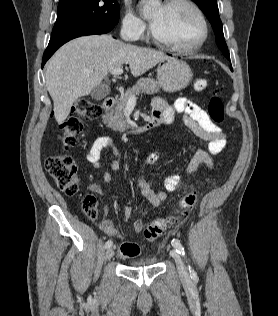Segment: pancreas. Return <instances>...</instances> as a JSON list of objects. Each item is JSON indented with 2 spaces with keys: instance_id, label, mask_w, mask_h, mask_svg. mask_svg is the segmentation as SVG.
I'll use <instances>...</instances> for the list:
<instances>
[{
  "instance_id": "cf45deb5",
  "label": "pancreas",
  "mask_w": 278,
  "mask_h": 316,
  "mask_svg": "<svg viewBox=\"0 0 278 316\" xmlns=\"http://www.w3.org/2000/svg\"><path fill=\"white\" fill-rule=\"evenodd\" d=\"M158 92H160V88L154 79L140 78L131 89H128L125 94L118 99L116 107L106 113L104 122L114 131H125L128 125L124 119L123 111L129 97L143 93L155 94Z\"/></svg>"
}]
</instances>
